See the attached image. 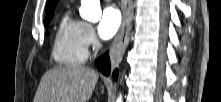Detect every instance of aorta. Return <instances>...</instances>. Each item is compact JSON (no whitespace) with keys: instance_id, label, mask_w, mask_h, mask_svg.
<instances>
[{"instance_id":"aorta-1","label":"aorta","mask_w":221,"mask_h":102,"mask_svg":"<svg viewBox=\"0 0 221 102\" xmlns=\"http://www.w3.org/2000/svg\"><path fill=\"white\" fill-rule=\"evenodd\" d=\"M79 13L83 19L91 22H97L100 20L102 15L100 0H81ZM117 102H122L121 95L117 98Z\"/></svg>"}]
</instances>
